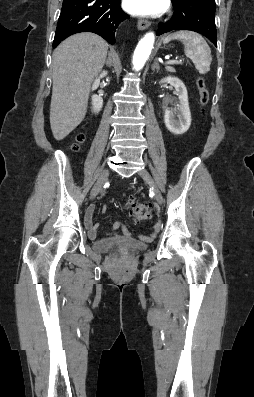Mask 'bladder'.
Wrapping results in <instances>:
<instances>
[{
  "instance_id": "31cf9c89",
  "label": "bladder",
  "mask_w": 254,
  "mask_h": 397,
  "mask_svg": "<svg viewBox=\"0 0 254 397\" xmlns=\"http://www.w3.org/2000/svg\"><path fill=\"white\" fill-rule=\"evenodd\" d=\"M129 245L132 250H142L145 248L144 244L137 242V241H130ZM113 246H114V244L110 240H100V241L93 242V247L96 250H99L102 252L110 251L113 248Z\"/></svg>"
}]
</instances>
